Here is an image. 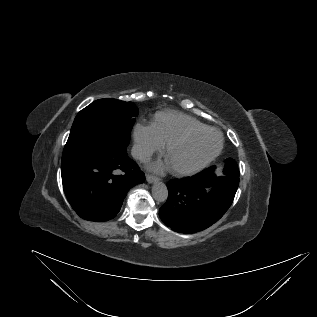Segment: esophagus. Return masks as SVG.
I'll use <instances>...</instances> for the list:
<instances>
[{"label": "esophagus", "mask_w": 317, "mask_h": 317, "mask_svg": "<svg viewBox=\"0 0 317 317\" xmlns=\"http://www.w3.org/2000/svg\"><path fill=\"white\" fill-rule=\"evenodd\" d=\"M159 179L156 177V176H153V175H150V174H147L146 175V181L149 183V184H152L154 182H157Z\"/></svg>", "instance_id": "esophagus-1"}]
</instances>
